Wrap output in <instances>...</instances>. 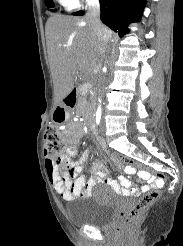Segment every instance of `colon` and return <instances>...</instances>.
<instances>
[{"label":"colon","mask_w":183,"mask_h":246,"mask_svg":"<svg viewBox=\"0 0 183 246\" xmlns=\"http://www.w3.org/2000/svg\"><path fill=\"white\" fill-rule=\"evenodd\" d=\"M57 116L59 121H63L65 117L64 111H58ZM62 146L63 137L58 128L53 125L48 126L44 135V150L47 157L56 163H60L62 159L59 153ZM110 153L114 154L117 160L125 162V164L130 165V167L143 169V172H151V175H157V179L159 180V184L154 190L141 197L132 209L121 214L118 229H122L133 226L140 216L159 198L160 188L163 182H169V177L168 174H162V170H154V167H147L145 162H136L133 160V157H129V155H121V153L116 152L115 149H111Z\"/></svg>","instance_id":"colon-1"}]
</instances>
